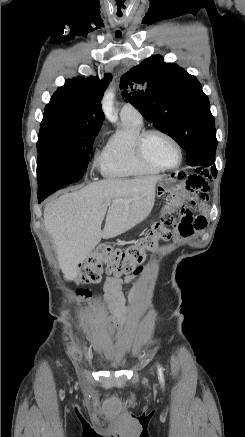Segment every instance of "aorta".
Returning <instances> with one entry per match:
<instances>
[{"instance_id": "aorta-1", "label": "aorta", "mask_w": 245, "mask_h": 437, "mask_svg": "<svg viewBox=\"0 0 245 437\" xmlns=\"http://www.w3.org/2000/svg\"><path fill=\"white\" fill-rule=\"evenodd\" d=\"M114 91L113 89H108L105 92L103 101H102V108H103V112L106 116V118L110 121V122H116L118 117L117 114L114 112Z\"/></svg>"}]
</instances>
